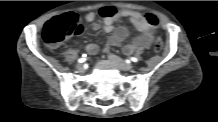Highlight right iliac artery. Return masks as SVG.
Masks as SVG:
<instances>
[{
	"mask_svg": "<svg viewBox=\"0 0 218 122\" xmlns=\"http://www.w3.org/2000/svg\"><path fill=\"white\" fill-rule=\"evenodd\" d=\"M86 60V55H83V58H80L79 60H78V62L79 63H82V62H84Z\"/></svg>",
	"mask_w": 218,
	"mask_h": 122,
	"instance_id": "82829eb1",
	"label": "right iliac artery"
}]
</instances>
